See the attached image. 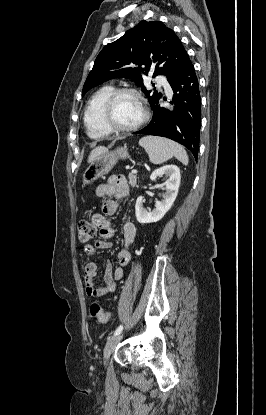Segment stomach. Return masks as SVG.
Here are the masks:
<instances>
[{
	"label": "stomach",
	"mask_w": 266,
	"mask_h": 415,
	"mask_svg": "<svg viewBox=\"0 0 266 415\" xmlns=\"http://www.w3.org/2000/svg\"><path fill=\"white\" fill-rule=\"evenodd\" d=\"M129 157L126 147H118L114 151L108 149L96 156L82 174L84 185H90L99 177L107 174L116 165L119 159Z\"/></svg>",
	"instance_id": "stomach-1"
}]
</instances>
